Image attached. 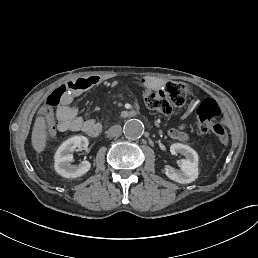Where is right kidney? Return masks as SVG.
<instances>
[{"label": "right kidney", "instance_id": "right-kidney-1", "mask_svg": "<svg viewBox=\"0 0 258 258\" xmlns=\"http://www.w3.org/2000/svg\"><path fill=\"white\" fill-rule=\"evenodd\" d=\"M89 145V140L83 135H76L66 140L57 149L54 159H55V170L63 177L74 178L85 174L89 168L90 163L86 160L81 161L77 165H72L73 162V152L77 147H83L87 150Z\"/></svg>", "mask_w": 258, "mask_h": 258}]
</instances>
